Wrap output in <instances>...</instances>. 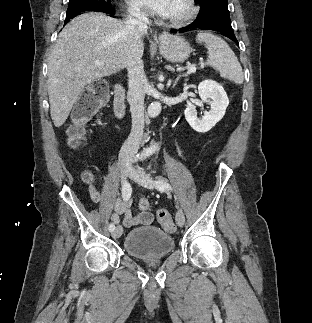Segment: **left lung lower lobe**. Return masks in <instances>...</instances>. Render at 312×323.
I'll use <instances>...</instances> for the list:
<instances>
[{
	"label": "left lung lower lobe",
	"mask_w": 312,
	"mask_h": 323,
	"mask_svg": "<svg viewBox=\"0 0 312 323\" xmlns=\"http://www.w3.org/2000/svg\"><path fill=\"white\" fill-rule=\"evenodd\" d=\"M194 29H202V30H212L219 32L220 34L230 38L231 40L235 41L238 44V41L234 35L232 26H231V21L230 19H224L220 18L215 21H207L202 24H193L191 23L189 26L181 28L179 30L172 29L171 32L176 33V32H186L189 30H194Z\"/></svg>",
	"instance_id": "left-lung-lower-lobe-1"
}]
</instances>
